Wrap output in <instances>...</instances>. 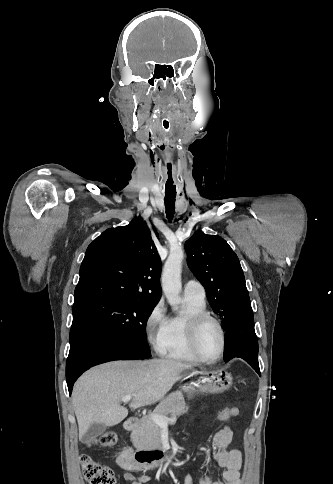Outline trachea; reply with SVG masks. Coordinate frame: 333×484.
Segmentation results:
<instances>
[{
  "mask_svg": "<svg viewBox=\"0 0 333 484\" xmlns=\"http://www.w3.org/2000/svg\"><path fill=\"white\" fill-rule=\"evenodd\" d=\"M163 125L164 127L167 129L169 127V123L168 121L164 120L163 121ZM165 137L166 138H169L170 137V131L169 130H166L165 131ZM167 158H168V163L166 164V185H167V196L164 198V202H165V207H166V215H167V218L168 220H172L173 216H174V213H175V197H172V194L175 193L176 191V177H175V172L173 171V158H172V155L171 154H168L167 155Z\"/></svg>",
  "mask_w": 333,
  "mask_h": 484,
  "instance_id": "trachea-1",
  "label": "trachea"
}]
</instances>
